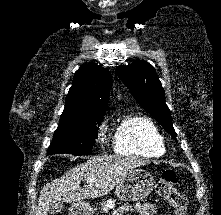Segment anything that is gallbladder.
Returning a JSON list of instances; mask_svg holds the SVG:
<instances>
[{"label": "gallbladder", "instance_id": "bac80fb5", "mask_svg": "<svg viewBox=\"0 0 221 215\" xmlns=\"http://www.w3.org/2000/svg\"><path fill=\"white\" fill-rule=\"evenodd\" d=\"M63 208L62 202H54L50 205L49 212L51 215L59 213Z\"/></svg>", "mask_w": 221, "mask_h": 215}]
</instances>
